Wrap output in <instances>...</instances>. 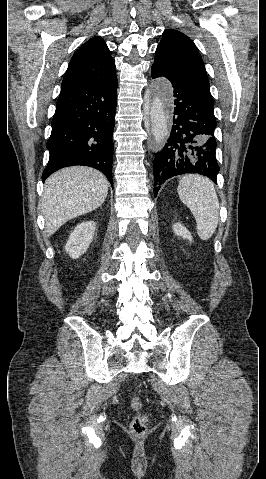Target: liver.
<instances>
[{
	"instance_id": "6515ba94",
	"label": "liver",
	"mask_w": 266,
	"mask_h": 479,
	"mask_svg": "<svg viewBox=\"0 0 266 479\" xmlns=\"http://www.w3.org/2000/svg\"><path fill=\"white\" fill-rule=\"evenodd\" d=\"M108 186L107 178L90 167L74 166L52 174L45 182L42 200L47 236L67 221L101 206Z\"/></svg>"
}]
</instances>
